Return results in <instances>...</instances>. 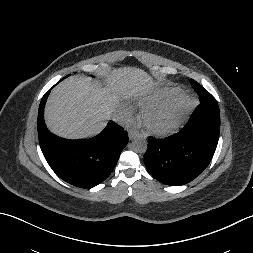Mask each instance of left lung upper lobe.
Instances as JSON below:
<instances>
[{
	"label": "left lung upper lobe",
	"mask_w": 253,
	"mask_h": 253,
	"mask_svg": "<svg viewBox=\"0 0 253 253\" xmlns=\"http://www.w3.org/2000/svg\"><path fill=\"white\" fill-rule=\"evenodd\" d=\"M190 82H191L192 86L196 85L198 87L199 91L202 93L203 97H200V99L202 101H204V102H206L208 104H212L214 106H218L217 101L215 100V98L208 91H206L200 84H198L193 79H191Z\"/></svg>",
	"instance_id": "obj_1"
}]
</instances>
